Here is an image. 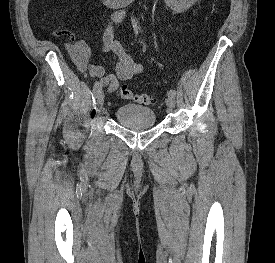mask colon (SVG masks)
Returning <instances> with one entry per match:
<instances>
[{"label":"colon","instance_id":"1","mask_svg":"<svg viewBox=\"0 0 275 263\" xmlns=\"http://www.w3.org/2000/svg\"><path fill=\"white\" fill-rule=\"evenodd\" d=\"M117 95L126 100H131L141 105H154L157 103V98L151 93H137L127 87H120L117 89Z\"/></svg>","mask_w":275,"mask_h":263}]
</instances>
